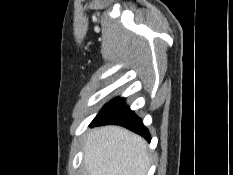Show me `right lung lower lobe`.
<instances>
[{
  "instance_id": "1",
  "label": "right lung lower lobe",
  "mask_w": 233,
  "mask_h": 175,
  "mask_svg": "<svg viewBox=\"0 0 233 175\" xmlns=\"http://www.w3.org/2000/svg\"><path fill=\"white\" fill-rule=\"evenodd\" d=\"M114 124L124 126L131 131L140 134L146 140L150 141L151 137L146 127H144L141 119L124 105V99H116L107 108L101 111L92 121L90 126Z\"/></svg>"
}]
</instances>
